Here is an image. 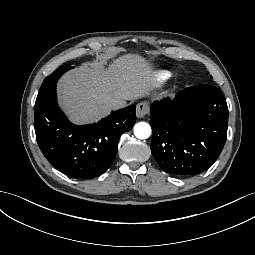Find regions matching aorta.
I'll return each mask as SVG.
<instances>
[{
  "label": "aorta",
  "mask_w": 255,
  "mask_h": 255,
  "mask_svg": "<svg viewBox=\"0 0 255 255\" xmlns=\"http://www.w3.org/2000/svg\"><path fill=\"white\" fill-rule=\"evenodd\" d=\"M134 134L139 139H147L151 134V127L146 122H139L134 126Z\"/></svg>",
  "instance_id": "aorta-1"
}]
</instances>
